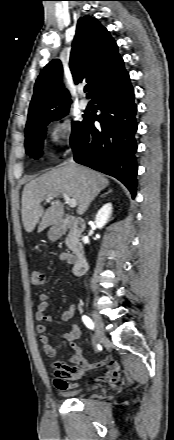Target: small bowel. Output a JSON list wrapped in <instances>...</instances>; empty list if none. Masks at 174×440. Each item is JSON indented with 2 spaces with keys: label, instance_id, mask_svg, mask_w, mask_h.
Returning <instances> with one entry per match:
<instances>
[{
  "label": "small bowel",
  "instance_id": "obj_1",
  "mask_svg": "<svg viewBox=\"0 0 174 440\" xmlns=\"http://www.w3.org/2000/svg\"><path fill=\"white\" fill-rule=\"evenodd\" d=\"M60 260L67 263H73V257L70 254L63 253ZM48 295L40 294L39 303L36 310V318L39 321L37 332L40 334V342L45 355L54 358L57 355L56 349L52 346L47 333V324L52 321V316L48 310ZM76 312V306H71L67 311L61 314L60 320L69 321ZM62 338L71 344L74 353L68 357L67 362L57 360L54 363V382L58 388L70 389L77 386L78 380L82 377L84 370H96L106 368L107 371L103 376L95 379L97 383L110 382L115 383L119 375V364L112 357L108 356L97 362L89 363L82 356L81 348L74 343L80 337V328L72 325L70 329L63 333Z\"/></svg>",
  "mask_w": 174,
  "mask_h": 440
}]
</instances>
